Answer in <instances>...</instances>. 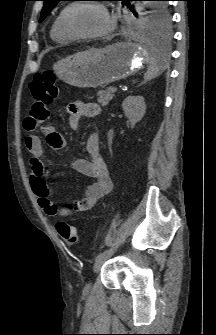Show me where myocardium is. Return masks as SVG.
I'll list each match as a JSON object with an SVG mask.
<instances>
[{
    "mask_svg": "<svg viewBox=\"0 0 216 335\" xmlns=\"http://www.w3.org/2000/svg\"><path fill=\"white\" fill-rule=\"evenodd\" d=\"M83 5H95L99 7L107 16L109 19V26L101 32H95V33H78L70 29L68 25V17L70 13L77 7L83 6ZM116 26V20L114 16L109 12L107 7L98 2V1H88V2H73L69 4L65 10L63 11L61 17H60V29L63 32L64 35L69 37L70 39L74 40H80V39H98L107 36L110 34Z\"/></svg>",
    "mask_w": 216,
    "mask_h": 335,
    "instance_id": "f54148a6",
    "label": "myocardium"
}]
</instances>
